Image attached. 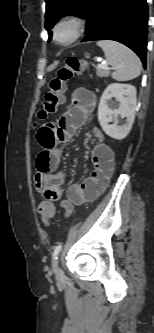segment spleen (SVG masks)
<instances>
[{"label": "spleen", "instance_id": "spleen-1", "mask_svg": "<svg viewBox=\"0 0 154 333\" xmlns=\"http://www.w3.org/2000/svg\"><path fill=\"white\" fill-rule=\"evenodd\" d=\"M97 45L104 51L106 61L115 66V71L112 73L113 79L129 81L140 75L142 63L128 47L111 40H100Z\"/></svg>", "mask_w": 154, "mask_h": 333}]
</instances>
